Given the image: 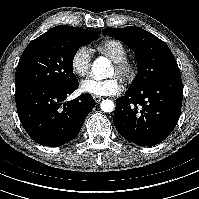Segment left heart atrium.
<instances>
[{"label": "left heart atrium", "mask_w": 199, "mask_h": 199, "mask_svg": "<svg viewBox=\"0 0 199 199\" xmlns=\"http://www.w3.org/2000/svg\"><path fill=\"white\" fill-rule=\"evenodd\" d=\"M80 89L94 96H108L119 93L122 90V83L116 76L105 80L88 78L81 83Z\"/></svg>", "instance_id": "obj_1"}]
</instances>
